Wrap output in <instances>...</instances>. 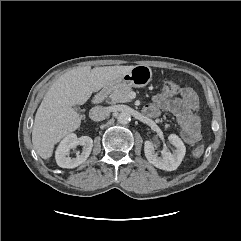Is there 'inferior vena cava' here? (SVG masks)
I'll use <instances>...</instances> for the list:
<instances>
[{"mask_svg": "<svg viewBox=\"0 0 241 241\" xmlns=\"http://www.w3.org/2000/svg\"><path fill=\"white\" fill-rule=\"evenodd\" d=\"M109 115L106 107L96 106L92 108L89 112V117L93 121H102Z\"/></svg>", "mask_w": 241, "mask_h": 241, "instance_id": "1", "label": "inferior vena cava"}]
</instances>
